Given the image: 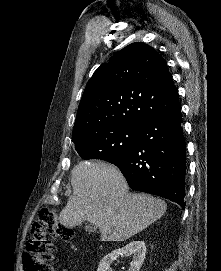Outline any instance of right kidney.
Listing matches in <instances>:
<instances>
[{"label": "right kidney", "mask_w": 221, "mask_h": 271, "mask_svg": "<svg viewBox=\"0 0 221 271\" xmlns=\"http://www.w3.org/2000/svg\"><path fill=\"white\" fill-rule=\"evenodd\" d=\"M125 253H127V255H131V261L127 271H139L145 259V241H130V243H127L124 247L113 249L111 253H107V255L102 257L97 271H111L110 265L112 261H114L116 257H119V255H125Z\"/></svg>", "instance_id": "obj_1"}]
</instances>
